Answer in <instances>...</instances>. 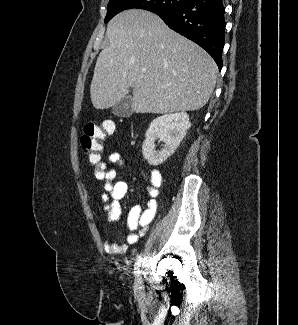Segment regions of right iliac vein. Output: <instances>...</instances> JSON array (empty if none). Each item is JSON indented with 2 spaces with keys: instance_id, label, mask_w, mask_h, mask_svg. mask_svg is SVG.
Returning a JSON list of instances; mask_svg holds the SVG:
<instances>
[{
  "instance_id": "1",
  "label": "right iliac vein",
  "mask_w": 298,
  "mask_h": 325,
  "mask_svg": "<svg viewBox=\"0 0 298 325\" xmlns=\"http://www.w3.org/2000/svg\"><path fill=\"white\" fill-rule=\"evenodd\" d=\"M134 291L137 295H140L143 292V281H142V277L140 275H138L135 280Z\"/></svg>"
}]
</instances>
